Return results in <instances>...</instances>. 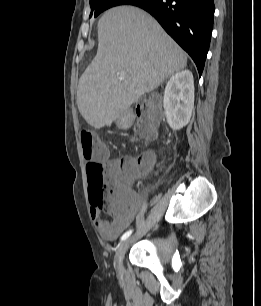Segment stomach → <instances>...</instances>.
<instances>
[{
	"mask_svg": "<svg viewBox=\"0 0 261 306\" xmlns=\"http://www.w3.org/2000/svg\"><path fill=\"white\" fill-rule=\"evenodd\" d=\"M118 122H119V126H121L122 128H127L132 123V117L129 113L126 112L120 116Z\"/></svg>",
	"mask_w": 261,
	"mask_h": 306,
	"instance_id": "stomach-1",
	"label": "stomach"
}]
</instances>
